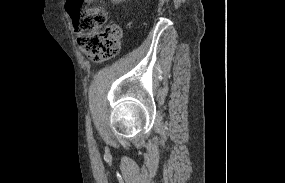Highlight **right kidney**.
Instances as JSON below:
<instances>
[{
  "label": "right kidney",
  "mask_w": 285,
  "mask_h": 183,
  "mask_svg": "<svg viewBox=\"0 0 285 183\" xmlns=\"http://www.w3.org/2000/svg\"><path fill=\"white\" fill-rule=\"evenodd\" d=\"M113 3H115V4H118V3H120V2H124V1H126V0H111Z\"/></svg>",
  "instance_id": "ca27d5eb"
}]
</instances>
